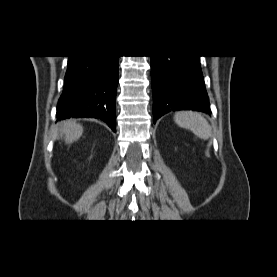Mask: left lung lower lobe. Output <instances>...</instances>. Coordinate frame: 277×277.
<instances>
[{
    "label": "left lung lower lobe",
    "mask_w": 277,
    "mask_h": 277,
    "mask_svg": "<svg viewBox=\"0 0 277 277\" xmlns=\"http://www.w3.org/2000/svg\"><path fill=\"white\" fill-rule=\"evenodd\" d=\"M154 123L175 110L211 114L199 56H151Z\"/></svg>",
    "instance_id": "1"
}]
</instances>
